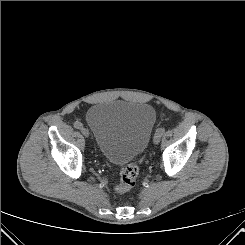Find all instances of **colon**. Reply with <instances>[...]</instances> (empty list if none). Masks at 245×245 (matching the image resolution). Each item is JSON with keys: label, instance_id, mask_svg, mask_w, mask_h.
I'll return each mask as SVG.
<instances>
[{"label": "colon", "instance_id": "obj_1", "mask_svg": "<svg viewBox=\"0 0 245 245\" xmlns=\"http://www.w3.org/2000/svg\"><path fill=\"white\" fill-rule=\"evenodd\" d=\"M138 171V165L134 162L125 165L120 171V179L114 187V194L123 195L130 191L135 185Z\"/></svg>", "mask_w": 245, "mask_h": 245}]
</instances>
